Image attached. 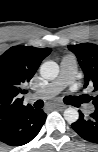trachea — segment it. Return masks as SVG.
Returning <instances> with one entry per match:
<instances>
[{
	"mask_svg": "<svg viewBox=\"0 0 98 152\" xmlns=\"http://www.w3.org/2000/svg\"><path fill=\"white\" fill-rule=\"evenodd\" d=\"M65 101L67 100H72L71 97H66L64 99ZM44 106V102L42 100H37L35 103H34V107L37 108V109H40Z\"/></svg>",
	"mask_w": 98,
	"mask_h": 152,
	"instance_id": "3493384b",
	"label": "trachea"
}]
</instances>
